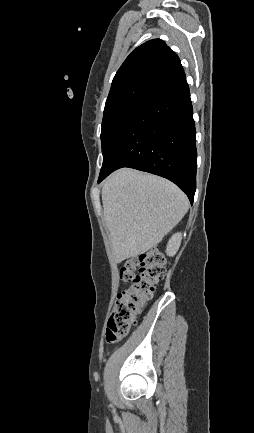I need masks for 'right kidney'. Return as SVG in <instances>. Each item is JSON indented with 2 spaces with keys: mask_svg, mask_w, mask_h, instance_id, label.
I'll list each match as a JSON object with an SVG mask.
<instances>
[{
  "mask_svg": "<svg viewBox=\"0 0 254 433\" xmlns=\"http://www.w3.org/2000/svg\"><path fill=\"white\" fill-rule=\"evenodd\" d=\"M181 240H182L181 233H176L171 237L166 247V253L168 256H174L177 253L181 244Z\"/></svg>",
  "mask_w": 254,
  "mask_h": 433,
  "instance_id": "right-kidney-1",
  "label": "right kidney"
}]
</instances>
